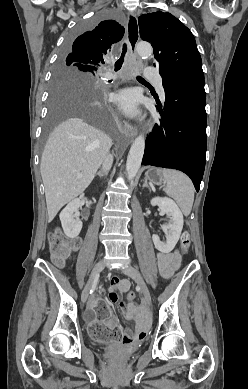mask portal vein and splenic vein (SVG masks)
<instances>
[{"mask_svg":"<svg viewBox=\"0 0 248 389\" xmlns=\"http://www.w3.org/2000/svg\"><path fill=\"white\" fill-rule=\"evenodd\" d=\"M77 177H82V174L79 173V174L77 175Z\"/></svg>","mask_w":248,"mask_h":389,"instance_id":"portal-vein-and-splenic-vein-1","label":"portal vein and splenic vein"}]
</instances>
